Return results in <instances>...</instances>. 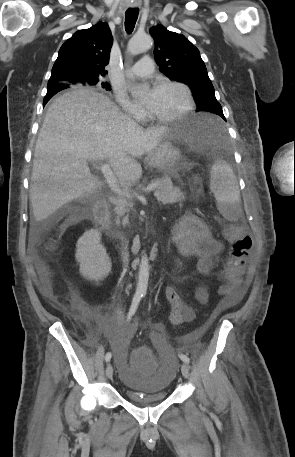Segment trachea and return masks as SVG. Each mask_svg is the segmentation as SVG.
<instances>
[{
	"instance_id": "1",
	"label": "trachea",
	"mask_w": 295,
	"mask_h": 457,
	"mask_svg": "<svg viewBox=\"0 0 295 457\" xmlns=\"http://www.w3.org/2000/svg\"><path fill=\"white\" fill-rule=\"evenodd\" d=\"M137 19H138V10L137 9H129L126 12L125 30L128 34H131L133 32Z\"/></svg>"
}]
</instances>
